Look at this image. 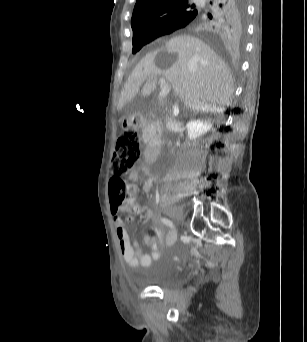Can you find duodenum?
<instances>
[{
    "mask_svg": "<svg viewBox=\"0 0 307 342\" xmlns=\"http://www.w3.org/2000/svg\"><path fill=\"white\" fill-rule=\"evenodd\" d=\"M155 120L149 117H143V116H136V117H126L124 126L125 128H132L134 126L137 129H142L144 125L148 128H151L153 126V122ZM162 145L161 140L157 137L156 134H154L151 137L150 143L144 148V159L145 161L149 162L151 161L158 153L160 146Z\"/></svg>",
    "mask_w": 307,
    "mask_h": 342,
    "instance_id": "obj_1",
    "label": "duodenum"
}]
</instances>
